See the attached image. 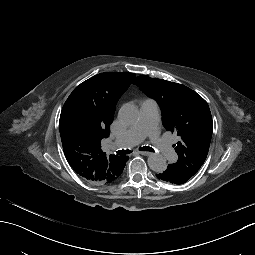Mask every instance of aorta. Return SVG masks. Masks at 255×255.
Segmentation results:
<instances>
[{
	"instance_id": "1",
	"label": "aorta",
	"mask_w": 255,
	"mask_h": 255,
	"mask_svg": "<svg viewBox=\"0 0 255 255\" xmlns=\"http://www.w3.org/2000/svg\"><path fill=\"white\" fill-rule=\"evenodd\" d=\"M119 119L125 124H133L139 118V110L134 104H124L118 113ZM148 166L151 170L162 173L166 170V159L159 153H151L148 156Z\"/></svg>"
}]
</instances>
